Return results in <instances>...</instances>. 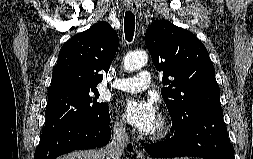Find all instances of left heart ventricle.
Returning a JSON list of instances; mask_svg holds the SVG:
<instances>
[{"label": "left heart ventricle", "mask_w": 253, "mask_h": 159, "mask_svg": "<svg viewBox=\"0 0 253 159\" xmlns=\"http://www.w3.org/2000/svg\"><path fill=\"white\" fill-rule=\"evenodd\" d=\"M156 125H157V123H156ZM156 125H155V127L153 128V130H155V128H156ZM153 130H152V131H153Z\"/></svg>", "instance_id": "obj_1"}]
</instances>
